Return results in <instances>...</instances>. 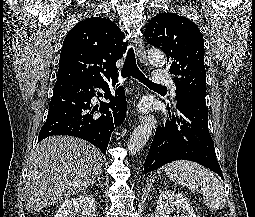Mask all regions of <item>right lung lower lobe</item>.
Listing matches in <instances>:
<instances>
[{
    "instance_id": "right-lung-lower-lobe-1",
    "label": "right lung lower lobe",
    "mask_w": 255,
    "mask_h": 217,
    "mask_svg": "<svg viewBox=\"0 0 255 217\" xmlns=\"http://www.w3.org/2000/svg\"><path fill=\"white\" fill-rule=\"evenodd\" d=\"M116 78L112 79L113 85ZM108 82L110 80L56 82L38 142L53 135H70L94 144L106 154L112 131L123 122L126 115L124 88L120 86L115 90V96H112ZM97 89L104 90L105 98L110 102H100L99 107L92 108V97L100 96Z\"/></svg>"
}]
</instances>
